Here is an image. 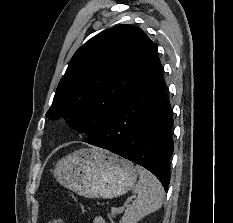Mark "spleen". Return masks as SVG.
Segmentation results:
<instances>
[{
  "mask_svg": "<svg viewBox=\"0 0 233 223\" xmlns=\"http://www.w3.org/2000/svg\"><path fill=\"white\" fill-rule=\"evenodd\" d=\"M138 173L139 181L133 189L138 195L130 205H127L120 223H137L145 215L159 209L163 203L165 191L159 179L140 165H138Z\"/></svg>",
  "mask_w": 233,
  "mask_h": 223,
  "instance_id": "spleen-1",
  "label": "spleen"
}]
</instances>
